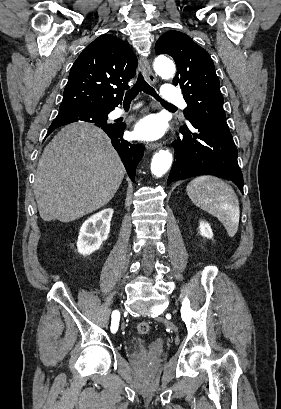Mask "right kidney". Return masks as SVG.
Instances as JSON below:
<instances>
[{"instance_id":"1","label":"right kidney","mask_w":281,"mask_h":409,"mask_svg":"<svg viewBox=\"0 0 281 409\" xmlns=\"http://www.w3.org/2000/svg\"><path fill=\"white\" fill-rule=\"evenodd\" d=\"M113 213V209H103V211L92 215L83 223L77 241L78 253L91 255V253L100 249L103 241L108 239Z\"/></svg>"}]
</instances>
